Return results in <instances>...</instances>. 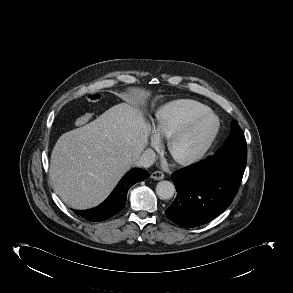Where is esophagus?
Returning <instances> with one entry per match:
<instances>
[{"label": "esophagus", "mask_w": 293, "mask_h": 293, "mask_svg": "<svg viewBox=\"0 0 293 293\" xmlns=\"http://www.w3.org/2000/svg\"><path fill=\"white\" fill-rule=\"evenodd\" d=\"M164 177L165 175L162 171H155L151 174V178L155 180H162Z\"/></svg>", "instance_id": "obj_1"}]
</instances>
